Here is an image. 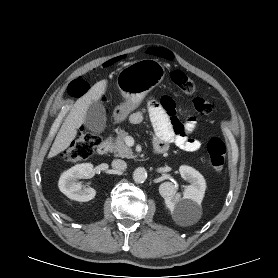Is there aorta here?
Here are the masks:
<instances>
[{"instance_id":"obj_1","label":"aorta","mask_w":278,"mask_h":278,"mask_svg":"<svg viewBox=\"0 0 278 278\" xmlns=\"http://www.w3.org/2000/svg\"><path fill=\"white\" fill-rule=\"evenodd\" d=\"M147 179V171L143 167H138L133 172V180L136 183H143Z\"/></svg>"}]
</instances>
